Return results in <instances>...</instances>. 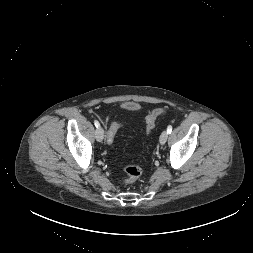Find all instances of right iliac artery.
<instances>
[{
  "instance_id": "82829eb1",
  "label": "right iliac artery",
  "mask_w": 253,
  "mask_h": 253,
  "mask_svg": "<svg viewBox=\"0 0 253 253\" xmlns=\"http://www.w3.org/2000/svg\"><path fill=\"white\" fill-rule=\"evenodd\" d=\"M94 125L96 126L97 129L100 127V124L97 120H94Z\"/></svg>"
}]
</instances>
